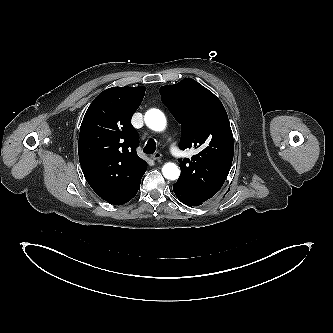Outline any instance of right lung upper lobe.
<instances>
[{"label": "right lung upper lobe", "instance_id": "right-lung-upper-lobe-1", "mask_svg": "<svg viewBox=\"0 0 333 333\" xmlns=\"http://www.w3.org/2000/svg\"><path fill=\"white\" fill-rule=\"evenodd\" d=\"M145 87H112L89 106L80 128L78 154L84 176L105 201L122 205L137 193L147 163L138 157L131 117Z\"/></svg>", "mask_w": 333, "mask_h": 333}]
</instances>
